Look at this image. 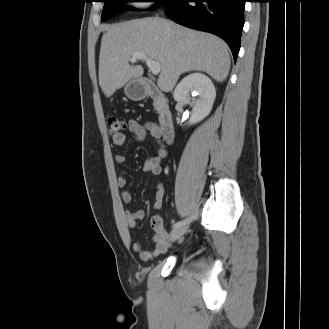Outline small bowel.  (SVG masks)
<instances>
[{
	"instance_id": "1",
	"label": "small bowel",
	"mask_w": 329,
	"mask_h": 329,
	"mask_svg": "<svg viewBox=\"0 0 329 329\" xmlns=\"http://www.w3.org/2000/svg\"><path fill=\"white\" fill-rule=\"evenodd\" d=\"M128 130L133 134L134 140H142L146 134H150V136L158 141L161 138L160 127L154 122H139L135 119H130L128 121ZM127 134L122 133L117 136H112V142L116 146H123L127 142ZM167 151L163 144H161V148L157 155L152 156L145 160L143 164V171L146 173H151L154 175H159L162 171L161 161L166 156ZM116 162L119 164H124L126 162V156L124 154H117ZM126 179L123 176H119L117 179V184L119 187L126 186ZM164 197V186L162 183H158L156 186L155 193V202L154 207L159 208L162 204V200ZM121 199L125 204H129L132 201V194L129 190H123L121 192ZM145 217V213L143 210H134L127 211L125 213V220L127 225L130 228H134L138 221L143 220ZM151 227L154 232L153 243L155 245L154 249H145L143 244L140 241H135L133 243V250L140 255V258L144 261H148L158 256L159 254L165 253L169 248V233L164 226V222L161 216L153 215L151 218Z\"/></svg>"
}]
</instances>
